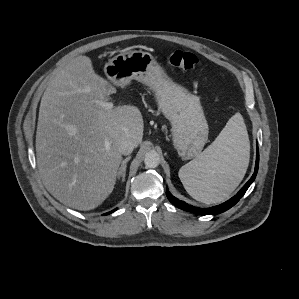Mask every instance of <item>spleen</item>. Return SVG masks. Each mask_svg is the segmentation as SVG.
Wrapping results in <instances>:
<instances>
[{
	"label": "spleen",
	"instance_id": "3e777b00",
	"mask_svg": "<svg viewBox=\"0 0 299 299\" xmlns=\"http://www.w3.org/2000/svg\"><path fill=\"white\" fill-rule=\"evenodd\" d=\"M249 138L240 113L199 156L182 166L179 178L187 193L205 204L225 201L242 181L249 163Z\"/></svg>",
	"mask_w": 299,
	"mask_h": 299
}]
</instances>
